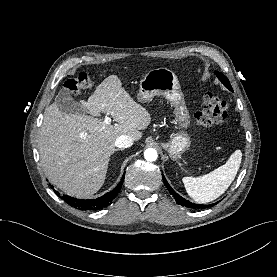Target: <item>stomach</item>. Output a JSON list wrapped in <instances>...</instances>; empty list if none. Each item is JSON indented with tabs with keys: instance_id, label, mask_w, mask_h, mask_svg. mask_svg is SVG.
<instances>
[{
	"instance_id": "obj_1",
	"label": "stomach",
	"mask_w": 277,
	"mask_h": 277,
	"mask_svg": "<svg viewBox=\"0 0 277 277\" xmlns=\"http://www.w3.org/2000/svg\"><path fill=\"white\" fill-rule=\"evenodd\" d=\"M163 96L174 107L175 122L182 129L191 125V116L186 108L183 93L175 73L167 68L150 70L140 81V91L137 96L141 102H149L154 96ZM191 140L187 132L174 134L171 139L162 143V147L174 160L190 148Z\"/></svg>"
}]
</instances>
